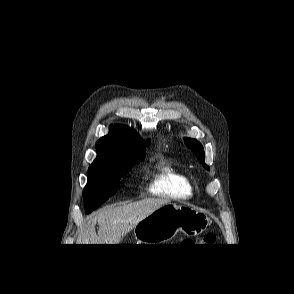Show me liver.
<instances>
[{
  "mask_svg": "<svg viewBox=\"0 0 294 294\" xmlns=\"http://www.w3.org/2000/svg\"><path fill=\"white\" fill-rule=\"evenodd\" d=\"M169 203L166 199L148 198L122 206H108L86 220L77 244H119L135 225ZM99 230L96 233L95 225Z\"/></svg>",
  "mask_w": 294,
  "mask_h": 294,
  "instance_id": "6515ba94",
  "label": "liver"
}]
</instances>
